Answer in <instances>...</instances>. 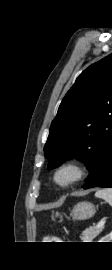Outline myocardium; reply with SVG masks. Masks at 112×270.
I'll return each mask as SVG.
<instances>
[{"label": "myocardium", "instance_id": "myocardium-1", "mask_svg": "<svg viewBox=\"0 0 112 270\" xmlns=\"http://www.w3.org/2000/svg\"><path fill=\"white\" fill-rule=\"evenodd\" d=\"M87 174L85 164L77 158L60 162L52 173L53 183L60 189H68L81 182Z\"/></svg>", "mask_w": 112, "mask_h": 270}]
</instances>
